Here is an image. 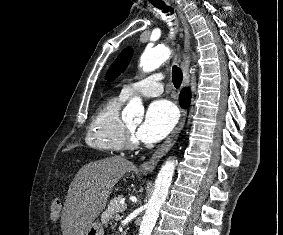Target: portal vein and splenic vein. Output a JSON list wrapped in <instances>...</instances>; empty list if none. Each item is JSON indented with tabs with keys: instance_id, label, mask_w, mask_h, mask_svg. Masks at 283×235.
I'll list each match as a JSON object with an SVG mask.
<instances>
[{
	"instance_id": "1",
	"label": "portal vein and splenic vein",
	"mask_w": 283,
	"mask_h": 235,
	"mask_svg": "<svg viewBox=\"0 0 283 235\" xmlns=\"http://www.w3.org/2000/svg\"><path fill=\"white\" fill-rule=\"evenodd\" d=\"M120 219H121L120 215L117 214V215L115 216V220H120Z\"/></svg>"
}]
</instances>
